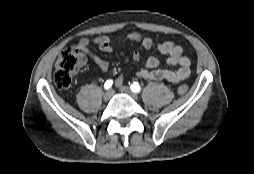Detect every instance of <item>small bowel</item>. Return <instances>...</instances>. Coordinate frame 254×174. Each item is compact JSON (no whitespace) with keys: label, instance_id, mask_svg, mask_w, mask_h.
<instances>
[{"label":"small bowel","instance_id":"1","mask_svg":"<svg viewBox=\"0 0 254 174\" xmlns=\"http://www.w3.org/2000/svg\"><path fill=\"white\" fill-rule=\"evenodd\" d=\"M126 40L140 43L144 48L150 49L153 47L154 42L150 37L141 35L138 32H131L125 36ZM90 43L95 45L103 52L110 53L114 50L113 42L106 36H99L90 41L87 38H82L79 41V47L86 49ZM160 53L167 57V63L171 66L177 67L176 69H161L159 68L160 62L156 57H149L145 61L144 66L137 72V76L147 81H161L165 80L171 84H177L186 80L190 76V59L183 55L181 46L172 41H165L156 44ZM88 55L96 66L103 72L108 71L109 63L98 55L89 52ZM133 59L139 61L141 54L138 51L133 53ZM123 80L118 79L116 84H122Z\"/></svg>","mask_w":254,"mask_h":174}]
</instances>
